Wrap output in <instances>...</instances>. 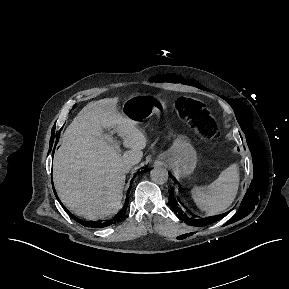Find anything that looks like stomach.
Listing matches in <instances>:
<instances>
[{
	"label": "stomach",
	"mask_w": 289,
	"mask_h": 289,
	"mask_svg": "<svg viewBox=\"0 0 289 289\" xmlns=\"http://www.w3.org/2000/svg\"><path fill=\"white\" fill-rule=\"evenodd\" d=\"M165 109L164 102L148 95L131 96L122 105V113L131 117L136 123ZM167 159L176 172L186 176L191 174L196 167L197 153L189 139L180 135L173 141Z\"/></svg>",
	"instance_id": "stomach-1"
}]
</instances>
